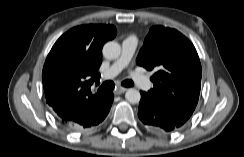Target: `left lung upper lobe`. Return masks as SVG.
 Instances as JSON below:
<instances>
[{
    "label": "left lung upper lobe",
    "instance_id": "left-lung-upper-lobe-1",
    "mask_svg": "<svg viewBox=\"0 0 244 157\" xmlns=\"http://www.w3.org/2000/svg\"><path fill=\"white\" fill-rule=\"evenodd\" d=\"M136 62L156 71L148 93L183 125L195 110L201 88V64L193 44L175 29L154 26Z\"/></svg>",
    "mask_w": 244,
    "mask_h": 157
}]
</instances>
